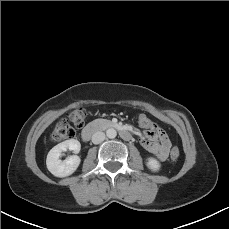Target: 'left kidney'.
<instances>
[{
  "label": "left kidney",
  "instance_id": "1",
  "mask_svg": "<svg viewBox=\"0 0 229 229\" xmlns=\"http://www.w3.org/2000/svg\"><path fill=\"white\" fill-rule=\"evenodd\" d=\"M146 165L151 171H154V172L159 171L161 167L159 161H157L155 158H152V157L147 159Z\"/></svg>",
  "mask_w": 229,
  "mask_h": 229
}]
</instances>
